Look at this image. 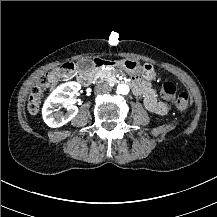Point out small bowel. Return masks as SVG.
<instances>
[{"mask_svg":"<svg viewBox=\"0 0 217 217\" xmlns=\"http://www.w3.org/2000/svg\"><path fill=\"white\" fill-rule=\"evenodd\" d=\"M140 84L133 92L135 95H144V105L152 113L165 115L169 111L167 102L159 101L156 92L149 83L138 81Z\"/></svg>","mask_w":217,"mask_h":217,"instance_id":"c3829d8e","label":"small bowel"}]
</instances>
